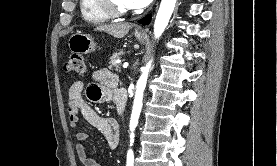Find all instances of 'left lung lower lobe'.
Instances as JSON below:
<instances>
[{"mask_svg":"<svg viewBox=\"0 0 277 166\" xmlns=\"http://www.w3.org/2000/svg\"><path fill=\"white\" fill-rule=\"evenodd\" d=\"M151 20V14L147 15L146 17H144L143 19H141L139 22L142 24H148Z\"/></svg>","mask_w":277,"mask_h":166,"instance_id":"left-lung-lower-lobe-1","label":"left lung lower lobe"}]
</instances>
